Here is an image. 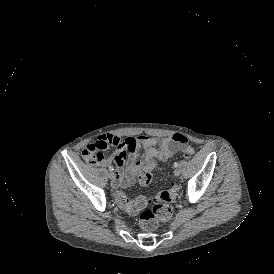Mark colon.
Listing matches in <instances>:
<instances>
[{
    "label": "colon",
    "mask_w": 274,
    "mask_h": 274,
    "mask_svg": "<svg viewBox=\"0 0 274 274\" xmlns=\"http://www.w3.org/2000/svg\"><path fill=\"white\" fill-rule=\"evenodd\" d=\"M93 142H96L93 141ZM83 152H103L101 151H83ZM82 152V153H83ZM195 153L190 147H183L180 150V157L183 160L195 158ZM155 162L149 160L145 162L139 171V179L143 185L149 183L151 177V168ZM179 194V187L172 185L169 190L161 192L156 196L138 195L131 198L123 191H118L115 195L117 205L130 214H139V223L145 229H155L160 222L168 220L173 212L172 202Z\"/></svg>",
    "instance_id": "colon-1"
}]
</instances>
